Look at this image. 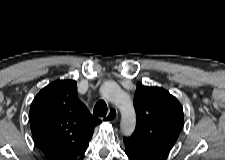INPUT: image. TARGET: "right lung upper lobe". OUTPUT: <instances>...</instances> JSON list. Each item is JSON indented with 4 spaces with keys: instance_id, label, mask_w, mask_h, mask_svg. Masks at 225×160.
I'll list each match as a JSON object with an SVG mask.
<instances>
[{
    "instance_id": "1",
    "label": "right lung upper lobe",
    "mask_w": 225,
    "mask_h": 160,
    "mask_svg": "<svg viewBox=\"0 0 225 160\" xmlns=\"http://www.w3.org/2000/svg\"><path fill=\"white\" fill-rule=\"evenodd\" d=\"M29 117L36 144L51 160H78L101 122L78 99L74 80H58L43 88Z\"/></svg>"
}]
</instances>
